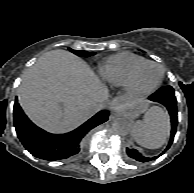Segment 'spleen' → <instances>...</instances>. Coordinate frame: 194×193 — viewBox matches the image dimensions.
Here are the masks:
<instances>
[{"mask_svg": "<svg viewBox=\"0 0 194 193\" xmlns=\"http://www.w3.org/2000/svg\"><path fill=\"white\" fill-rule=\"evenodd\" d=\"M133 134L140 146L148 149L160 148L167 142L170 134L168 114L161 107H151L143 120L136 121Z\"/></svg>", "mask_w": 194, "mask_h": 193, "instance_id": "1", "label": "spleen"}]
</instances>
